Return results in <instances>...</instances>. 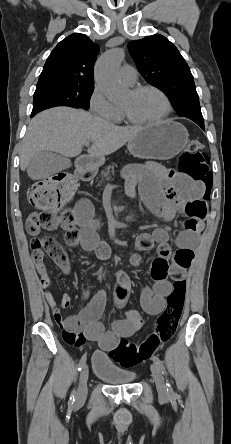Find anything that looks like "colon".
Listing matches in <instances>:
<instances>
[{"mask_svg":"<svg viewBox=\"0 0 231 444\" xmlns=\"http://www.w3.org/2000/svg\"><path fill=\"white\" fill-rule=\"evenodd\" d=\"M179 171L195 182L206 186L212 183L209 169V157L198 140H191L179 160ZM76 181L70 175L58 174L34 183L28 191L30 203L38 209L27 222V232L34 236L32 249L34 254L46 253L59 266L66 268L68 257L59 242L52 236H40L43 230H55L60 219H70L71 212L62 211L76 190ZM190 219L186 229L195 231L198 218L206 213V203L195 202L189 205ZM186 294L185 279L174 280L173 289L168 296V305L155 323L154 332L140 343L122 340L110 350L109 356L120 366L129 368L149 360L153 352L165 344L175 333L182 315Z\"/></svg>","mask_w":231,"mask_h":444,"instance_id":"1","label":"colon"}]
</instances>
